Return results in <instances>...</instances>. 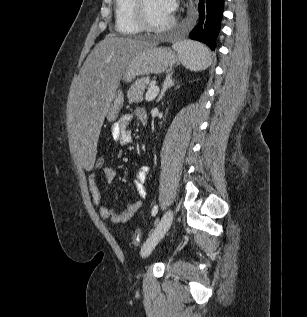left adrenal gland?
<instances>
[{"label": "left adrenal gland", "mask_w": 307, "mask_h": 317, "mask_svg": "<svg viewBox=\"0 0 307 317\" xmlns=\"http://www.w3.org/2000/svg\"><path fill=\"white\" fill-rule=\"evenodd\" d=\"M175 84V81L172 79V73L169 74L166 79L164 80L163 84H162V89H161V93L158 97V99L156 100V102H159L163 99L165 92L172 87Z\"/></svg>", "instance_id": "1"}]
</instances>
